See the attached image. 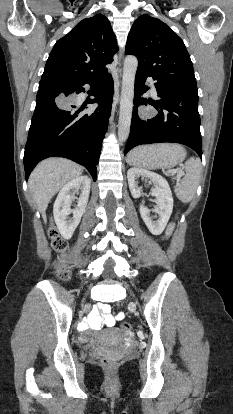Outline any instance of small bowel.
I'll list each match as a JSON object with an SVG mask.
<instances>
[{
    "label": "small bowel",
    "mask_w": 233,
    "mask_h": 414,
    "mask_svg": "<svg viewBox=\"0 0 233 414\" xmlns=\"http://www.w3.org/2000/svg\"><path fill=\"white\" fill-rule=\"evenodd\" d=\"M94 305L95 307L90 312L87 320L79 323L81 330H100L103 327H113L116 321L123 318V313L112 315L110 305L103 301L98 300Z\"/></svg>",
    "instance_id": "1"
}]
</instances>
